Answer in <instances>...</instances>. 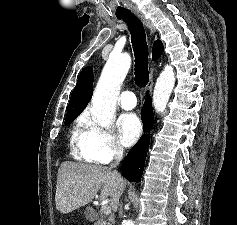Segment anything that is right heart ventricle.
<instances>
[{
    "label": "right heart ventricle",
    "instance_id": "obj_1",
    "mask_svg": "<svg viewBox=\"0 0 237 225\" xmlns=\"http://www.w3.org/2000/svg\"><path fill=\"white\" fill-rule=\"evenodd\" d=\"M83 118L79 119L73 130L72 141L74 144V156L79 160L88 161L81 150V137L83 133Z\"/></svg>",
    "mask_w": 237,
    "mask_h": 225
}]
</instances>
